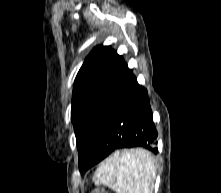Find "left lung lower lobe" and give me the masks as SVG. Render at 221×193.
<instances>
[{
    "mask_svg": "<svg viewBox=\"0 0 221 193\" xmlns=\"http://www.w3.org/2000/svg\"><path fill=\"white\" fill-rule=\"evenodd\" d=\"M157 136L147 90L128 70L111 108L107 131L83 170L90 169L123 148L143 147L156 154Z\"/></svg>",
    "mask_w": 221,
    "mask_h": 193,
    "instance_id": "obj_1",
    "label": "left lung lower lobe"
}]
</instances>
